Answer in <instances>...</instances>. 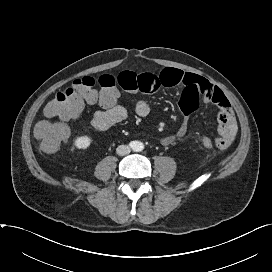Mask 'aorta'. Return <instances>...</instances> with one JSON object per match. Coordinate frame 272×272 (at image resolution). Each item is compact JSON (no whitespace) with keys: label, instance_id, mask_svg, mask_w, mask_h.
I'll use <instances>...</instances> for the list:
<instances>
[{"label":"aorta","instance_id":"1","mask_svg":"<svg viewBox=\"0 0 272 272\" xmlns=\"http://www.w3.org/2000/svg\"><path fill=\"white\" fill-rule=\"evenodd\" d=\"M143 149H144V144L140 141H136L135 146H134V150L139 152V151H142Z\"/></svg>","mask_w":272,"mask_h":272}]
</instances>
